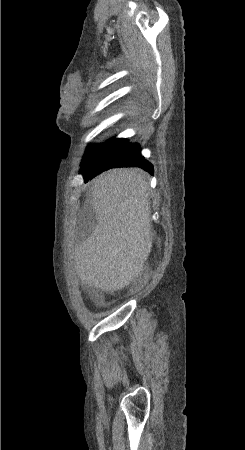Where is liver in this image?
<instances>
[{
	"label": "liver",
	"instance_id": "liver-1",
	"mask_svg": "<svg viewBox=\"0 0 245 450\" xmlns=\"http://www.w3.org/2000/svg\"><path fill=\"white\" fill-rule=\"evenodd\" d=\"M90 203L94 233L74 253L82 283L118 291L141 272L152 245L149 185L138 169H111L96 177Z\"/></svg>",
	"mask_w": 245,
	"mask_h": 450
}]
</instances>
